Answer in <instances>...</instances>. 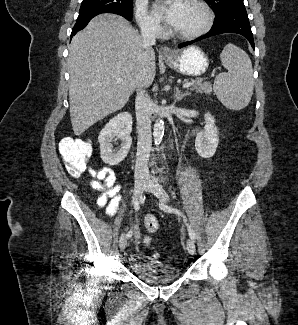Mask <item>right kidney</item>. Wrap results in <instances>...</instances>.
I'll return each instance as SVG.
<instances>
[{
	"mask_svg": "<svg viewBox=\"0 0 298 325\" xmlns=\"http://www.w3.org/2000/svg\"><path fill=\"white\" fill-rule=\"evenodd\" d=\"M130 132H132V114L130 112H119L110 118L109 122L100 130L98 136L100 154L106 165H110V167L118 165L127 156L132 144ZM117 138H120L122 142L119 150H113L112 142Z\"/></svg>",
	"mask_w": 298,
	"mask_h": 325,
	"instance_id": "obj_1",
	"label": "right kidney"
}]
</instances>
